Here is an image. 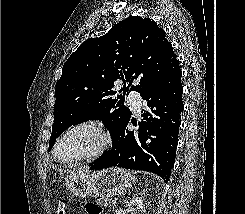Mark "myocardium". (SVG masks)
Returning <instances> with one entry per match:
<instances>
[{"mask_svg": "<svg viewBox=\"0 0 245 214\" xmlns=\"http://www.w3.org/2000/svg\"><path fill=\"white\" fill-rule=\"evenodd\" d=\"M80 129H88L91 130L93 132H95L98 137H99V144L98 146L91 151L90 153L77 157V158H73V159H60L57 156V148L58 145L60 144V142L62 141V139L67 136L68 134H70L73 131L76 130H80ZM111 145V138L108 135V133L98 124L93 123V122H81V123H77L71 127H69L68 129H66L55 141L53 148H52V155L53 158L58 161L61 164H65V165H74V164H79L82 162H88V161H92L97 159L98 157H100Z\"/></svg>", "mask_w": 245, "mask_h": 214, "instance_id": "f54148a6", "label": "myocardium"}]
</instances>
